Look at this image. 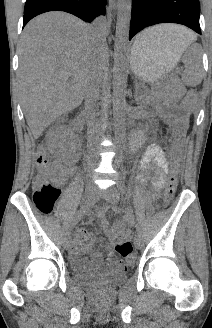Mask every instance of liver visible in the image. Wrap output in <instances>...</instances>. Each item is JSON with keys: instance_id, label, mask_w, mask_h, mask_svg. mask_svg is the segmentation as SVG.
I'll list each match as a JSON object with an SVG mask.
<instances>
[{"instance_id": "1", "label": "liver", "mask_w": 212, "mask_h": 328, "mask_svg": "<svg viewBox=\"0 0 212 328\" xmlns=\"http://www.w3.org/2000/svg\"><path fill=\"white\" fill-rule=\"evenodd\" d=\"M145 36L147 41L166 40L182 47L196 40L193 32L172 24L149 28ZM98 49L91 26L73 15L48 12L26 25L19 47V89L35 139L81 104Z\"/></svg>"}]
</instances>
